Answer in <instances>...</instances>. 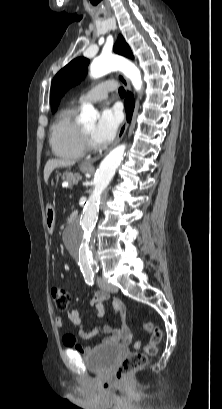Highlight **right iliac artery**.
<instances>
[{
    "label": "right iliac artery",
    "instance_id": "obj_1",
    "mask_svg": "<svg viewBox=\"0 0 222 409\" xmlns=\"http://www.w3.org/2000/svg\"><path fill=\"white\" fill-rule=\"evenodd\" d=\"M84 279H85V282L88 284V285H93L94 284V273L93 272H91V271H88V272H85L84 274Z\"/></svg>",
    "mask_w": 222,
    "mask_h": 409
}]
</instances>
